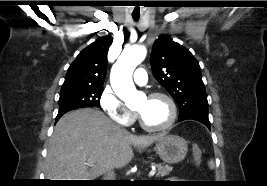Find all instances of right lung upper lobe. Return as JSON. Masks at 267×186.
<instances>
[{
    "label": "right lung upper lobe",
    "instance_id": "right-lung-upper-lobe-1",
    "mask_svg": "<svg viewBox=\"0 0 267 186\" xmlns=\"http://www.w3.org/2000/svg\"><path fill=\"white\" fill-rule=\"evenodd\" d=\"M111 43L112 39L105 36L82 50L70 65L62 87H103L107 69V53Z\"/></svg>",
    "mask_w": 267,
    "mask_h": 186
}]
</instances>
